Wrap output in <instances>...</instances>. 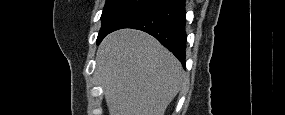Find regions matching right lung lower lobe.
I'll return each mask as SVG.
<instances>
[{"instance_id":"right-lung-lower-lobe-1","label":"right lung lower lobe","mask_w":285,"mask_h":115,"mask_svg":"<svg viewBox=\"0 0 285 115\" xmlns=\"http://www.w3.org/2000/svg\"><path fill=\"white\" fill-rule=\"evenodd\" d=\"M185 22V0H153L124 18L110 32L122 28L147 32L169 49L185 67Z\"/></svg>"}]
</instances>
